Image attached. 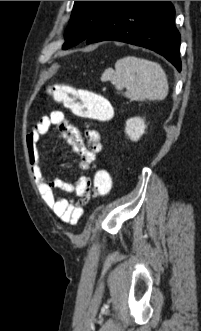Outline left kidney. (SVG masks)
Listing matches in <instances>:
<instances>
[{"instance_id": "1", "label": "left kidney", "mask_w": 201, "mask_h": 331, "mask_svg": "<svg viewBox=\"0 0 201 331\" xmlns=\"http://www.w3.org/2000/svg\"><path fill=\"white\" fill-rule=\"evenodd\" d=\"M146 129L145 122L142 118L133 117L126 121L125 132L132 141H138Z\"/></svg>"}]
</instances>
